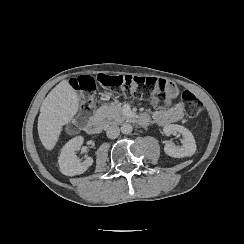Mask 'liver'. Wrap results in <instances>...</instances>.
<instances>
[{
    "label": "liver",
    "mask_w": 244,
    "mask_h": 244,
    "mask_svg": "<svg viewBox=\"0 0 244 244\" xmlns=\"http://www.w3.org/2000/svg\"><path fill=\"white\" fill-rule=\"evenodd\" d=\"M78 108L79 98L68 81H61L50 91L40 107L37 127L45 149L54 148L62 126L71 121Z\"/></svg>",
    "instance_id": "liver-1"
}]
</instances>
